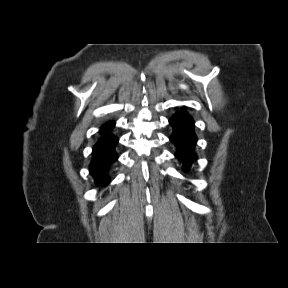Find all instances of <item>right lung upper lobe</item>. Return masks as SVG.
Listing matches in <instances>:
<instances>
[{
    "label": "right lung upper lobe",
    "mask_w": 288,
    "mask_h": 288,
    "mask_svg": "<svg viewBox=\"0 0 288 288\" xmlns=\"http://www.w3.org/2000/svg\"><path fill=\"white\" fill-rule=\"evenodd\" d=\"M113 126H114V122H112V121L106 123V124L103 126V128L100 130V132L102 133V137L108 136L107 130H108L110 127H113Z\"/></svg>",
    "instance_id": "obj_1"
}]
</instances>
